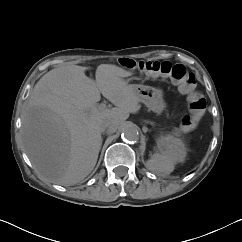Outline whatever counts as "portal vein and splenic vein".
Returning a JSON list of instances; mask_svg holds the SVG:
<instances>
[{
  "label": "portal vein and splenic vein",
  "instance_id": "obj_1",
  "mask_svg": "<svg viewBox=\"0 0 242 242\" xmlns=\"http://www.w3.org/2000/svg\"><path fill=\"white\" fill-rule=\"evenodd\" d=\"M106 108V104L105 103H101L99 106H98V109L99 110H103Z\"/></svg>",
  "mask_w": 242,
  "mask_h": 242
}]
</instances>
